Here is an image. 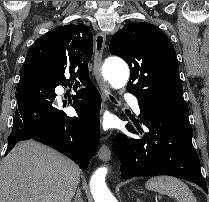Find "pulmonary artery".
<instances>
[{"label":"pulmonary artery","instance_id":"e3ab8cb5","mask_svg":"<svg viewBox=\"0 0 209 202\" xmlns=\"http://www.w3.org/2000/svg\"><path fill=\"white\" fill-rule=\"evenodd\" d=\"M124 99L130 105L134 112L138 113L140 111V104L136 97L130 94H125Z\"/></svg>","mask_w":209,"mask_h":202}]
</instances>
